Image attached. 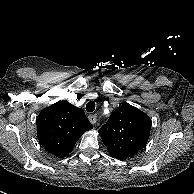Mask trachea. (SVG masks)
Instances as JSON below:
<instances>
[{
  "instance_id": "trachea-1",
  "label": "trachea",
  "mask_w": 194,
  "mask_h": 194,
  "mask_svg": "<svg viewBox=\"0 0 194 194\" xmlns=\"http://www.w3.org/2000/svg\"><path fill=\"white\" fill-rule=\"evenodd\" d=\"M95 106L96 105H95L94 101L88 102L86 105L87 112H93L95 110Z\"/></svg>"
}]
</instances>
